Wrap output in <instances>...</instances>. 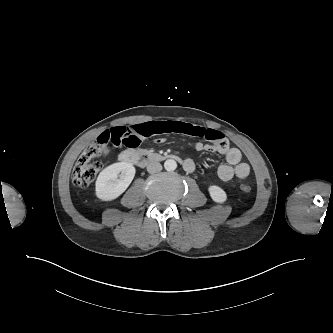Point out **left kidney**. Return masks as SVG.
<instances>
[{"mask_svg":"<svg viewBox=\"0 0 333 333\" xmlns=\"http://www.w3.org/2000/svg\"><path fill=\"white\" fill-rule=\"evenodd\" d=\"M209 194L212 200L216 203H224L227 199L226 192L217 185H211L208 187Z\"/></svg>","mask_w":333,"mask_h":333,"instance_id":"1","label":"left kidney"}]
</instances>
